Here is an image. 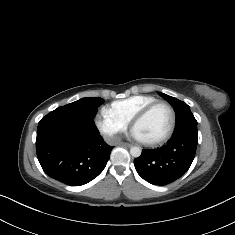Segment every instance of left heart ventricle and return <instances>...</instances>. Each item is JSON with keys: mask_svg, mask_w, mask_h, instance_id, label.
<instances>
[{"mask_svg": "<svg viewBox=\"0 0 235 235\" xmlns=\"http://www.w3.org/2000/svg\"><path fill=\"white\" fill-rule=\"evenodd\" d=\"M171 115L166 107H158L144 120L134 126V133L140 141H153L163 137L169 130Z\"/></svg>", "mask_w": 235, "mask_h": 235, "instance_id": "b2bd125f", "label": "left heart ventricle"}]
</instances>
